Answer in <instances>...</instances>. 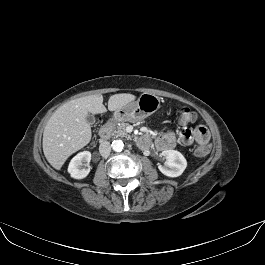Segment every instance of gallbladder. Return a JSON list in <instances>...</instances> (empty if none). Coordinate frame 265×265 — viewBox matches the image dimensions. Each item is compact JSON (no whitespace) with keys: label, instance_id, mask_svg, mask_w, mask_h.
Here are the masks:
<instances>
[{"label":"gallbladder","instance_id":"gallbladder-1","mask_svg":"<svg viewBox=\"0 0 265 265\" xmlns=\"http://www.w3.org/2000/svg\"><path fill=\"white\" fill-rule=\"evenodd\" d=\"M86 121H87V123H89L90 125H93L95 122H96V119H95V117L92 115V114H88L87 116H86Z\"/></svg>","mask_w":265,"mask_h":265}]
</instances>
